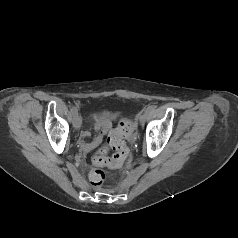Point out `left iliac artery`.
I'll use <instances>...</instances> for the list:
<instances>
[{
	"instance_id": "1",
	"label": "left iliac artery",
	"mask_w": 238,
	"mask_h": 238,
	"mask_svg": "<svg viewBox=\"0 0 238 238\" xmlns=\"http://www.w3.org/2000/svg\"><path fill=\"white\" fill-rule=\"evenodd\" d=\"M155 110V106H149L146 110L147 113H152Z\"/></svg>"
}]
</instances>
